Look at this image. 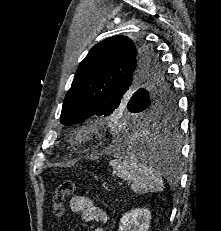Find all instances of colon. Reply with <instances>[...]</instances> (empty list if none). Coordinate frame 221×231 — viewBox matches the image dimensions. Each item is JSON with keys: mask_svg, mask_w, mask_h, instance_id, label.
<instances>
[{"mask_svg": "<svg viewBox=\"0 0 221 231\" xmlns=\"http://www.w3.org/2000/svg\"><path fill=\"white\" fill-rule=\"evenodd\" d=\"M76 191L73 181L61 183L52 194L53 212L56 217L62 218L65 214L66 197Z\"/></svg>", "mask_w": 221, "mask_h": 231, "instance_id": "5ec220e1", "label": "colon"}]
</instances>
